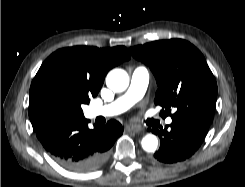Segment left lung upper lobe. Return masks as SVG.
I'll list each match as a JSON object with an SVG mask.
<instances>
[{"mask_svg": "<svg viewBox=\"0 0 245 187\" xmlns=\"http://www.w3.org/2000/svg\"><path fill=\"white\" fill-rule=\"evenodd\" d=\"M131 54L150 66L159 89L155 104L172 121H211L217 84L202 53L182 39L160 40L130 48ZM171 109L175 113L171 114Z\"/></svg>", "mask_w": 245, "mask_h": 187, "instance_id": "obj_1", "label": "left lung upper lobe"}]
</instances>
